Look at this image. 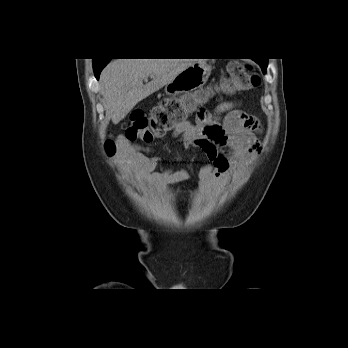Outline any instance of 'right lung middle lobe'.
I'll use <instances>...</instances> for the list:
<instances>
[{
    "label": "right lung middle lobe",
    "mask_w": 348,
    "mask_h": 348,
    "mask_svg": "<svg viewBox=\"0 0 348 348\" xmlns=\"http://www.w3.org/2000/svg\"><path fill=\"white\" fill-rule=\"evenodd\" d=\"M110 59H94V64H103L106 65Z\"/></svg>",
    "instance_id": "1"
}]
</instances>
